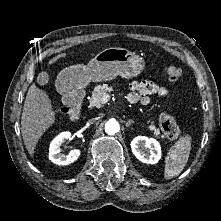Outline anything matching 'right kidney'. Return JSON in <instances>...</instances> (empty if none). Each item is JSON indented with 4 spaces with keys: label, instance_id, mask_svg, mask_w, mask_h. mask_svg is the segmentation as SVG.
<instances>
[{
    "label": "right kidney",
    "instance_id": "1",
    "mask_svg": "<svg viewBox=\"0 0 221 221\" xmlns=\"http://www.w3.org/2000/svg\"><path fill=\"white\" fill-rule=\"evenodd\" d=\"M72 140V134L68 131L62 132L57 135L50 143L49 147V160L57 165H68L73 163L80 156V150H71L68 154L61 152L62 144L67 141Z\"/></svg>",
    "mask_w": 221,
    "mask_h": 221
}]
</instances>
